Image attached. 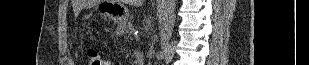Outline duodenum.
<instances>
[{"instance_id": "duodenum-1", "label": "duodenum", "mask_w": 309, "mask_h": 65, "mask_svg": "<svg viewBox=\"0 0 309 65\" xmlns=\"http://www.w3.org/2000/svg\"><path fill=\"white\" fill-rule=\"evenodd\" d=\"M136 59H137L138 65H144V57L141 53L136 54Z\"/></svg>"}]
</instances>
